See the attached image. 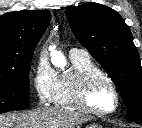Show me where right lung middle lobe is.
I'll list each match as a JSON object with an SVG mask.
<instances>
[{
    "mask_svg": "<svg viewBox=\"0 0 142 128\" xmlns=\"http://www.w3.org/2000/svg\"><path fill=\"white\" fill-rule=\"evenodd\" d=\"M30 63L31 60L14 70L0 73V113L29 107Z\"/></svg>",
    "mask_w": 142,
    "mask_h": 128,
    "instance_id": "1",
    "label": "right lung middle lobe"
}]
</instances>
